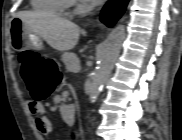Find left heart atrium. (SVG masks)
I'll return each mask as SVG.
<instances>
[{
  "mask_svg": "<svg viewBox=\"0 0 182 140\" xmlns=\"http://www.w3.org/2000/svg\"><path fill=\"white\" fill-rule=\"evenodd\" d=\"M93 2H98V0H93Z\"/></svg>",
  "mask_w": 182,
  "mask_h": 140,
  "instance_id": "left-heart-atrium-1",
  "label": "left heart atrium"
}]
</instances>
